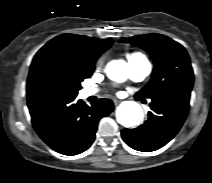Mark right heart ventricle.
Listing matches in <instances>:
<instances>
[{"mask_svg":"<svg viewBox=\"0 0 212 183\" xmlns=\"http://www.w3.org/2000/svg\"><path fill=\"white\" fill-rule=\"evenodd\" d=\"M139 57H144L141 53H132L128 55V60H133Z\"/></svg>","mask_w":212,"mask_h":183,"instance_id":"obj_1","label":"right heart ventricle"}]
</instances>
